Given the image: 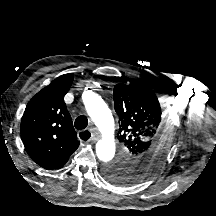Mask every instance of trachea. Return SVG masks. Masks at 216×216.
<instances>
[{"label": "trachea", "instance_id": "3493384b", "mask_svg": "<svg viewBox=\"0 0 216 216\" xmlns=\"http://www.w3.org/2000/svg\"><path fill=\"white\" fill-rule=\"evenodd\" d=\"M88 125V119L86 116H79L76 118L75 122H74V126L76 129L78 130H82V129H85ZM82 140L86 141L90 138V133H82V135L80 136Z\"/></svg>", "mask_w": 216, "mask_h": 216}]
</instances>
